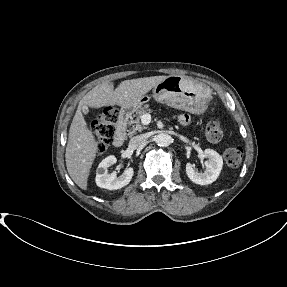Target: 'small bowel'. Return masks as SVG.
<instances>
[{
  "label": "small bowel",
  "mask_w": 287,
  "mask_h": 287,
  "mask_svg": "<svg viewBox=\"0 0 287 287\" xmlns=\"http://www.w3.org/2000/svg\"><path fill=\"white\" fill-rule=\"evenodd\" d=\"M179 120L182 122V123H186L188 121V117L186 115H182L180 116Z\"/></svg>",
  "instance_id": "1"
}]
</instances>
